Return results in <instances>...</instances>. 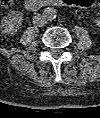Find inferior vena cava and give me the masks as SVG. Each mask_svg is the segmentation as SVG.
Wrapping results in <instances>:
<instances>
[{
	"mask_svg": "<svg viewBox=\"0 0 100 118\" xmlns=\"http://www.w3.org/2000/svg\"><path fill=\"white\" fill-rule=\"evenodd\" d=\"M33 24L37 27H42L46 24V19L42 14H36L33 16Z\"/></svg>",
	"mask_w": 100,
	"mask_h": 118,
	"instance_id": "obj_1",
	"label": "inferior vena cava"
}]
</instances>
